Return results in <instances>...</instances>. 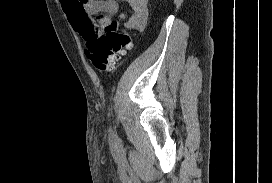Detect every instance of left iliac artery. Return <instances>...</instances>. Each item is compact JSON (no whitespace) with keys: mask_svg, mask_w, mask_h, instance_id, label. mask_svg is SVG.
Returning <instances> with one entry per match:
<instances>
[{"mask_svg":"<svg viewBox=\"0 0 272 183\" xmlns=\"http://www.w3.org/2000/svg\"><path fill=\"white\" fill-rule=\"evenodd\" d=\"M110 133H111V135L113 136V137H116V135L113 133V131H112V129L110 128Z\"/></svg>","mask_w":272,"mask_h":183,"instance_id":"obj_1","label":"left iliac artery"}]
</instances>
